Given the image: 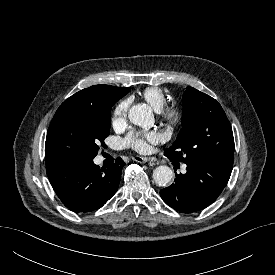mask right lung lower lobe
Instances as JSON below:
<instances>
[{"label": "right lung lower lobe", "mask_w": 275, "mask_h": 275, "mask_svg": "<svg viewBox=\"0 0 275 275\" xmlns=\"http://www.w3.org/2000/svg\"><path fill=\"white\" fill-rule=\"evenodd\" d=\"M124 165L120 157L105 170L93 160H56L46 162V171L62 203L80 213L97 210L113 197Z\"/></svg>", "instance_id": "obj_1"}]
</instances>
